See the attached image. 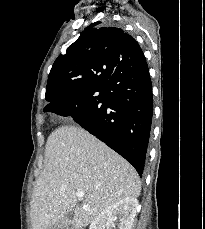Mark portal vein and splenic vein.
Listing matches in <instances>:
<instances>
[{
  "instance_id": "portal-vein-and-splenic-vein-1",
  "label": "portal vein and splenic vein",
  "mask_w": 205,
  "mask_h": 229,
  "mask_svg": "<svg viewBox=\"0 0 205 229\" xmlns=\"http://www.w3.org/2000/svg\"><path fill=\"white\" fill-rule=\"evenodd\" d=\"M76 196H77V198H78L79 200H82V199H83V197H84V193H83V192L78 191V192H77V194H76Z\"/></svg>"
}]
</instances>
